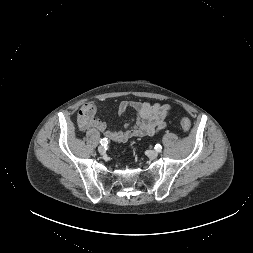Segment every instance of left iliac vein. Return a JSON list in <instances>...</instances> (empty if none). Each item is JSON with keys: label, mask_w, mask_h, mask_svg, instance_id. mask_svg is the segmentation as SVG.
<instances>
[{"label": "left iliac vein", "mask_w": 253, "mask_h": 253, "mask_svg": "<svg viewBox=\"0 0 253 253\" xmlns=\"http://www.w3.org/2000/svg\"><path fill=\"white\" fill-rule=\"evenodd\" d=\"M158 154H159L158 151H154V150L147 152V156L151 159L157 158Z\"/></svg>", "instance_id": "4c4485c4"}]
</instances>
